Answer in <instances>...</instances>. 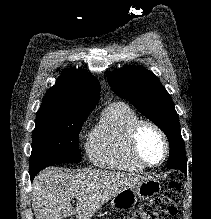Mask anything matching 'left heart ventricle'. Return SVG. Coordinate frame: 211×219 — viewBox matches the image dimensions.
I'll use <instances>...</instances> for the list:
<instances>
[{"label":"left heart ventricle","instance_id":"obj_1","mask_svg":"<svg viewBox=\"0 0 211 219\" xmlns=\"http://www.w3.org/2000/svg\"><path fill=\"white\" fill-rule=\"evenodd\" d=\"M139 150L144 160L150 164L158 163L163 156V142L151 127H144L139 134Z\"/></svg>","mask_w":211,"mask_h":219}]
</instances>
